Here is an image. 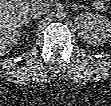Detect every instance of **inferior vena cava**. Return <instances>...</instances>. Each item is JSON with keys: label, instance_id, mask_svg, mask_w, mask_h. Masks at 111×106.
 Instances as JSON below:
<instances>
[{"label": "inferior vena cava", "instance_id": "1", "mask_svg": "<svg viewBox=\"0 0 111 106\" xmlns=\"http://www.w3.org/2000/svg\"><path fill=\"white\" fill-rule=\"evenodd\" d=\"M48 3L42 0H35L31 2L30 12L34 16H40L48 13L49 9L47 8Z\"/></svg>", "mask_w": 111, "mask_h": 106}]
</instances>
